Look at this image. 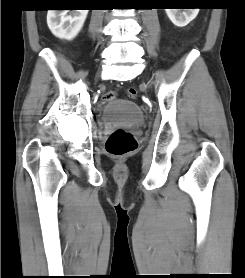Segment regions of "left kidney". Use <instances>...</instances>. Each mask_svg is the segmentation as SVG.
Wrapping results in <instances>:
<instances>
[{
	"instance_id": "1",
	"label": "left kidney",
	"mask_w": 245,
	"mask_h": 278,
	"mask_svg": "<svg viewBox=\"0 0 245 278\" xmlns=\"http://www.w3.org/2000/svg\"><path fill=\"white\" fill-rule=\"evenodd\" d=\"M171 22L177 27L189 24L198 14L199 8L193 9H165ZM182 11V12H181Z\"/></svg>"
}]
</instances>
